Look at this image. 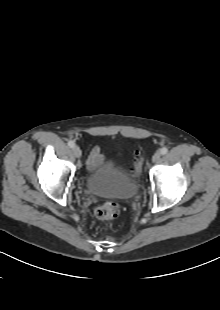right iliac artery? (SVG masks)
Listing matches in <instances>:
<instances>
[{
    "mask_svg": "<svg viewBox=\"0 0 220 310\" xmlns=\"http://www.w3.org/2000/svg\"><path fill=\"white\" fill-rule=\"evenodd\" d=\"M68 146H69L70 148H73V147L75 146L74 141L69 140V141H68Z\"/></svg>",
    "mask_w": 220,
    "mask_h": 310,
    "instance_id": "right-iliac-artery-1",
    "label": "right iliac artery"
}]
</instances>
